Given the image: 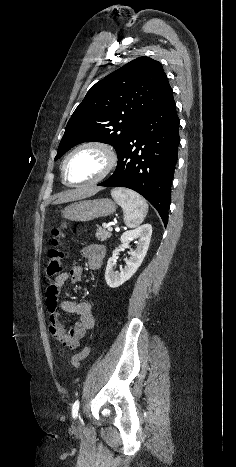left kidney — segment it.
<instances>
[{
  "label": "left kidney",
  "instance_id": "obj_1",
  "mask_svg": "<svg viewBox=\"0 0 236 467\" xmlns=\"http://www.w3.org/2000/svg\"><path fill=\"white\" fill-rule=\"evenodd\" d=\"M151 235L152 226L150 224H144L122 234L120 241L123 247H128L130 241L138 240L137 247L135 250L131 249L129 251L130 257L125 260L126 266L121 269L120 272L114 271L116 256L109 258L105 272V280L110 288L119 287L134 275L146 256ZM118 252L119 249L116 248L115 253L117 254Z\"/></svg>",
  "mask_w": 236,
  "mask_h": 467
}]
</instances>
